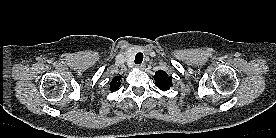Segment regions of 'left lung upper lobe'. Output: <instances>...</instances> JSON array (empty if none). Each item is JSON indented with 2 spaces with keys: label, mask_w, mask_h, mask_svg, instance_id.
<instances>
[{
  "label": "left lung upper lobe",
  "mask_w": 276,
  "mask_h": 138,
  "mask_svg": "<svg viewBox=\"0 0 276 138\" xmlns=\"http://www.w3.org/2000/svg\"><path fill=\"white\" fill-rule=\"evenodd\" d=\"M155 85L162 91L168 90L172 86V77L163 70H159L154 76Z\"/></svg>",
  "instance_id": "5c2ea615"
}]
</instances>
